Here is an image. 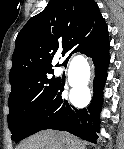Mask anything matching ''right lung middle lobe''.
<instances>
[{
	"instance_id": "1",
	"label": "right lung middle lobe",
	"mask_w": 124,
	"mask_h": 149,
	"mask_svg": "<svg viewBox=\"0 0 124 149\" xmlns=\"http://www.w3.org/2000/svg\"><path fill=\"white\" fill-rule=\"evenodd\" d=\"M49 74H53V70L35 75L30 81L12 89L9 95L10 110L7 118L15 143L19 142L30 119L59 84L57 79Z\"/></svg>"
}]
</instances>
